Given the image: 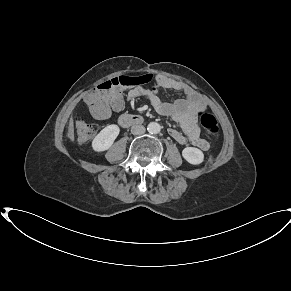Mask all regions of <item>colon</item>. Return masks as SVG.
Instances as JSON below:
<instances>
[{"instance_id": "1", "label": "colon", "mask_w": 291, "mask_h": 291, "mask_svg": "<svg viewBox=\"0 0 291 291\" xmlns=\"http://www.w3.org/2000/svg\"><path fill=\"white\" fill-rule=\"evenodd\" d=\"M143 82L141 78L129 77V76H119L112 78L110 80L100 83L96 87V92L102 94L113 89L126 88L132 85H136ZM200 123L203 130L211 136H216L219 133L218 121L214 115L200 111L199 112ZM76 138L78 143H87L94 135L95 128L94 125L86 120L83 116H77L74 120Z\"/></svg>"}]
</instances>
